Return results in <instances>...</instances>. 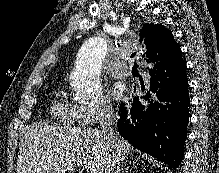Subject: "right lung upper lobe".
Returning <instances> with one entry per match:
<instances>
[{
    "mask_svg": "<svg viewBox=\"0 0 219 173\" xmlns=\"http://www.w3.org/2000/svg\"><path fill=\"white\" fill-rule=\"evenodd\" d=\"M140 37L146 45L148 59H152L158 54L168 57L182 54L172 32L162 24H145L140 30Z\"/></svg>",
    "mask_w": 219,
    "mask_h": 173,
    "instance_id": "right-lung-upper-lobe-1",
    "label": "right lung upper lobe"
}]
</instances>
